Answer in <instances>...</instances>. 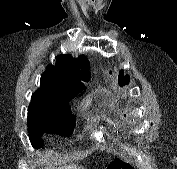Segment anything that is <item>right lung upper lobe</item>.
I'll return each instance as SVG.
<instances>
[{
    "instance_id": "1",
    "label": "right lung upper lobe",
    "mask_w": 177,
    "mask_h": 169,
    "mask_svg": "<svg viewBox=\"0 0 177 169\" xmlns=\"http://www.w3.org/2000/svg\"><path fill=\"white\" fill-rule=\"evenodd\" d=\"M88 59L81 55L58 56L54 66H48L41 76V87L33 93L30 105L55 104L70 101L84 89L89 80Z\"/></svg>"
}]
</instances>
